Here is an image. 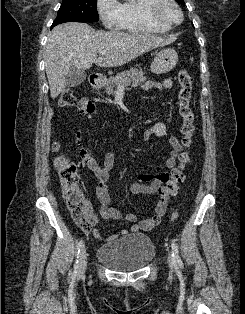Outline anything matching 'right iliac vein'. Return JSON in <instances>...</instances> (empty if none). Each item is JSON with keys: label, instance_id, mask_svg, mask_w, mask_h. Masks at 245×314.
I'll list each match as a JSON object with an SVG mask.
<instances>
[{"label": "right iliac vein", "instance_id": "63e3f726", "mask_svg": "<svg viewBox=\"0 0 245 314\" xmlns=\"http://www.w3.org/2000/svg\"><path fill=\"white\" fill-rule=\"evenodd\" d=\"M87 268V253L85 246L82 247L79 257L78 274L81 275Z\"/></svg>", "mask_w": 245, "mask_h": 314}]
</instances>
